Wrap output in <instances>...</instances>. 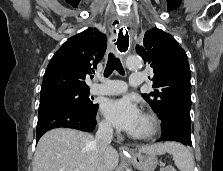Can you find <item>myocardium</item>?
Listing matches in <instances>:
<instances>
[{
	"mask_svg": "<svg viewBox=\"0 0 223 171\" xmlns=\"http://www.w3.org/2000/svg\"><path fill=\"white\" fill-rule=\"evenodd\" d=\"M148 123V131L142 134H131L130 137L136 140H148L153 138L160 129V122L157 116L151 112H144L141 115Z\"/></svg>",
	"mask_w": 223,
	"mask_h": 171,
	"instance_id": "1",
	"label": "myocardium"
}]
</instances>
